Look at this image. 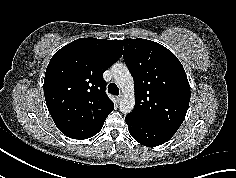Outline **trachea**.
I'll list each match as a JSON object with an SVG mask.
<instances>
[{
	"mask_svg": "<svg viewBox=\"0 0 236 178\" xmlns=\"http://www.w3.org/2000/svg\"><path fill=\"white\" fill-rule=\"evenodd\" d=\"M108 92L112 95H119V89L116 84L110 83L108 85Z\"/></svg>",
	"mask_w": 236,
	"mask_h": 178,
	"instance_id": "3493384b",
	"label": "trachea"
}]
</instances>
